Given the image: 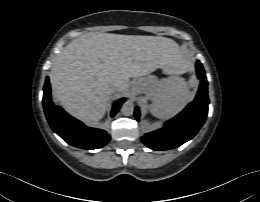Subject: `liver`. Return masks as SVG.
Returning a JSON list of instances; mask_svg holds the SVG:
<instances>
[{"instance_id":"obj_1","label":"liver","mask_w":260,"mask_h":202,"mask_svg":"<svg viewBox=\"0 0 260 202\" xmlns=\"http://www.w3.org/2000/svg\"><path fill=\"white\" fill-rule=\"evenodd\" d=\"M162 68L165 74L187 69L178 44L160 36L87 33L70 42L49 74L54 98L72 116L96 123L103 118L111 87L128 88L130 77Z\"/></svg>"}]
</instances>
